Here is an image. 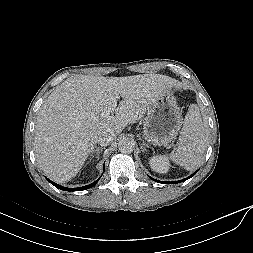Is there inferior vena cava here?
<instances>
[{"mask_svg": "<svg viewBox=\"0 0 253 253\" xmlns=\"http://www.w3.org/2000/svg\"><path fill=\"white\" fill-rule=\"evenodd\" d=\"M115 136L116 135L109 130H102L98 134L97 142L101 146H107L113 142V140L115 139Z\"/></svg>", "mask_w": 253, "mask_h": 253, "instance_id": "inferior-vena-cava-1", "label": "inferior vena cava"}]
</instances>
